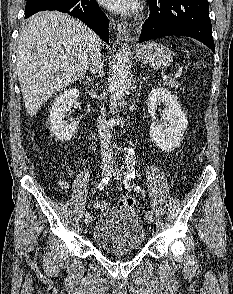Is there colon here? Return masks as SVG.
<instances>
[{"label":"colon","instance_id":"colon-1","mask_svg":"<svg viewBox=\"0 0 233 294\" xmlns=\"http://www.w3.org/2000/svg\"><path fill=\"white\" fill-rule=\"evenodd\" d=\"M120 205L123 207H132L134 206V199L128 196L121 198Z\"/></svg>","mask_w":233,"mask_h":294}]
</instances>
